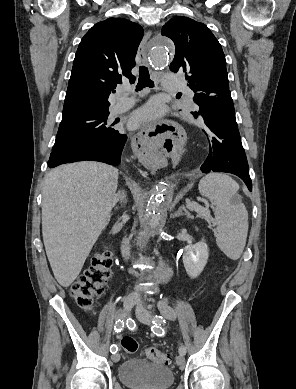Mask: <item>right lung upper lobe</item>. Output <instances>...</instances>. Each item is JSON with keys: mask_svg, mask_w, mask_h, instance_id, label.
Here are the masks:
<instances>
[{"mask_svg": "<svg viewBox=\"0 0 296 389\" xmlns=\"http://www.w3.org/2000/svg\"><path fill=\"white\" fill-rule=\"evenodd\" d=\"M142 37L140 25L121 18H108L85 34L73 62L63 117L108 112L116 85L135 81L131 70Z\"/></svg>", "mask_w": 296, "mask_h": 389, "instance_id": "1", "label": "right lung upper lobe"}]
</instances>
